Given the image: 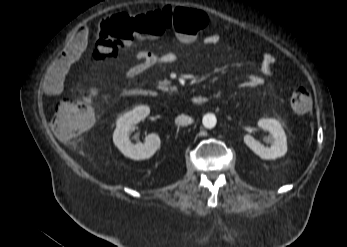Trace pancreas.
I'll return each mask as SVG.
<instances>
[{
	"label": "pancreas",
	"mask_w": 347,
	"mask_h": 247,
	"mask_svg": "<svg viewBox=\"0 0 347 247\" xmlns=\"http://www.w3.org/2000/svg\"><path fill=\"white\" fill-rule=\"evenodd\" d=\"M158 89L162 90V91H166V92H169L170 94L172 93L173 91V88H169L168 87V83L166 81H160L158 83Z\"/></svg>",
	"instance_id": "obj_1"
}]
</instances>
